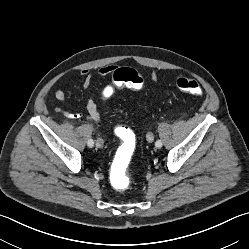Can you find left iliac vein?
Masks as SVG:
<instances>
[{"label": "left iliac vein", "instance_id": "1", "mask_svg": "<svg viewBox=\"0 0 249 249\" xmlns=\"http://www.w3.org/2000/svg\"><path fill=\"white\" fill-rule=\"evenodd\" d=\"M153 140H154L153 134H152V133H148V134H147V141H148V142H153Z\"/></svg>", "mask_w": 249, "mask_h": 249}]
</instances>
